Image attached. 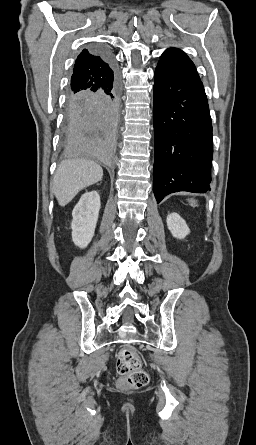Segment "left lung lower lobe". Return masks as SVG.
<instances>
[{
  "label": "left lung lower lobe",
  "instance_id": "left-lung-lower-lobe-1",
  "mask_svg": "<svg viewBox=\"0 0 256 445\" xmlns=\"http://www.w3.org/2000/svg\"><path fill=\"white\" fill-rule=\"evenodd\" d=\"M153 122V191L157 202L173 192H207L213 154L212 124L200 78L158 63Z\"/></svg>",
  "mask_w": 256,
  "mask_h": 445
}]
</instances>
